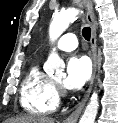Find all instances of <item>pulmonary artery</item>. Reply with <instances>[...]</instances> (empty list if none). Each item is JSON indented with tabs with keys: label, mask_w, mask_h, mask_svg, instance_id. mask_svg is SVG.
I'll list each match as a JSON object with an SVG mask.
<instances>
[{
	"label": "pulmonary artery",
	"mask_w": 118,
	"mask_h": 123,
	"mask_svg": "<svg viewBox=\"0 0 118 123\" xmlns=\"http://www.w3.org/2000/svg\"><path fill=\"white\" fill-rule=\"evenodd\" d=\"M78 46L77 36L73 33L63 35L56 43V48L63 51H72Z\"/></svg>",
	"instance_id": "1"
}]
</instances>
